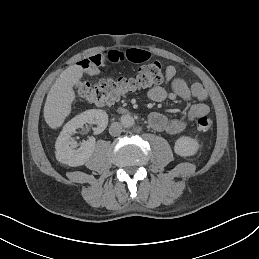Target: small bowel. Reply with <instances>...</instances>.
I'll list each match as a JSON object with an SVG mask.
<instances>
[{"label": "small bowel", "instance_id": "obj_1", "mask_svg": "<svg viewBox=\"0 0 259 259\" xmlns=\"http://www.w3.org/2000/svg\"><path fill=\"white\" fill-rule=\"evenodd\" d=\"M149 58L150 54L140 49L107 50L83 59L79 62V66L88 74L99 75L100 67L106 63L122 61L141 63L149 60ZM176 74L177 71L174 66H167L165 70L166 86H155L148 92L150 99L156 102L166 99L197 100V103L192 105L182 117L169 118L159 112L150 113L148 117L150 127L156 131L165 132L170 135L181 132L196 118L205 116L209 112V107L206 104L208 94L204 87L199 83L189 85Z\"/></svg>", "mask_w": 259, "mask_h": 259}]
</instances>
